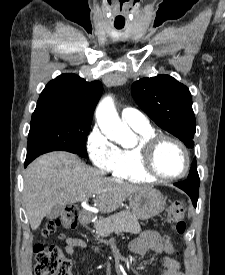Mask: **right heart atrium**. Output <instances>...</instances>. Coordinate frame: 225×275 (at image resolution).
Returning <instances> with one entry per match:
<instances>
[{
    "label": "right heart atrium",
    "mask_w": 225,
    "mask_h": 275,
    "mask_svg": "<svg viewBox=\"0 0 225 275\" xmlns=\"http://www.w3.org/2000/svg\"><path fill=\"white\" fill-rule=\"evenodd\" d=\"M87 151L92 164L102 172H110L119 156V148L98 127L90 132Z\"/></svg>",
    "instance_id": "right-heart-atrium-1"
}]
</instances>
